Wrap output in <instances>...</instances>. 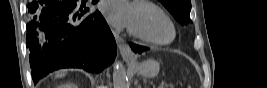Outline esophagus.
Instances as JSON below:
<instances>
[{
	"label": "esophagus",
	"instance_id": "esophagus-1",
	"mask_svg": "<svg viewBox=\"0 0 267 88\" xmlns=\"http://www.w3.org/2000/svg\"><path fill=\"white\" fill-rule=\"evenodd\" d=\"M112 32L123 60L125 62H129L131 60L129 45L118 35V33H116L114 30Z\"/></svg>",
	"mask_w": 267,
	"mask_h": 88
}]
</instances>
